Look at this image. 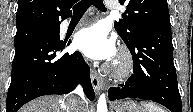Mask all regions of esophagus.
I'll use <instances>...</instances> for the list:
<instances>
[{
	"label": "esophagus",
	"mask_w": 193,
	"mask_h": 112,
	"mask_svg": "<svg viewBox=\"0 0 193 112\" xmlns=\"http://www.w3.org/2000/svg\"><path fill=\"white\" fill-rule=\"evenodd\" d=\"M91 82L95 93L98 94L102 87V79L94 70L91 71Z\"/></svg>",
	"instance_id": "34e87169"
}]
</instances>
